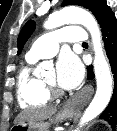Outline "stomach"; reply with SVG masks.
Here are the masks:
<instances>
[{
	"mask_svg": "<svg viewBox=\"0 0 117 131\" xmlns=\"http://www.w3.org/2000/svg\"><path fill=\"white\" fill-rule=\"evenodd\" d=\"M74 111L70 108H63L55 117L49 121H26L15 124L12 127L14 131H48L51 124L59 123L73 116Z\"/></svg>",
	"mask_w": 117,
	"mask_h": 131,
	"instance_id": "0dacf381",
	"label": "stomach"
}]
</instances>
